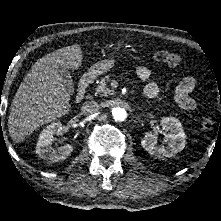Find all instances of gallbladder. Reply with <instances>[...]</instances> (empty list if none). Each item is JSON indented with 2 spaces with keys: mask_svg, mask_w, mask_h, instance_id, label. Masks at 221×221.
<instances>
[{
  "mask_svg": "<svg viewBox=\"0 0 221 221\" xmlns=\"http://www.w3.org/2000/svg\"><path fill=\"white\" fill-rule=\"evenodd\" d=\"M61 81L65 85L66 89L71 93L74 91V84L69 70L65 67L59 68Z\"/></svg>",
  "mask_w": 221,
  "mask_h": 221,
  "instance_id": "obj_1",
  "label": "gallbladder"
}]
</instances>
